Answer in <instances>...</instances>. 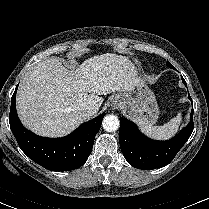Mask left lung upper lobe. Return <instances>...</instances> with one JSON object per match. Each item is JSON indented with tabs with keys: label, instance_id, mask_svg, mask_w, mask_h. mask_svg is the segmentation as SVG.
I'll return each instance as SVG.
<instances>
[{
	"label": "left lung upper lobe",
	"instance_id": "obj_1",
	"mask_svg": "<svg viewBox=\"0 0 209 209\" xmlns=\"http://www.w3.org/2000/svg\"><path fill=\"white\" fill-rule=\"evenodd\" d=\"M167 65H168L170 68H174V67L172 66V64L169 63V62H167Z\"/></svg>",
	"mask_w": 209,
	"mask_h": 209
}]
</instances>
